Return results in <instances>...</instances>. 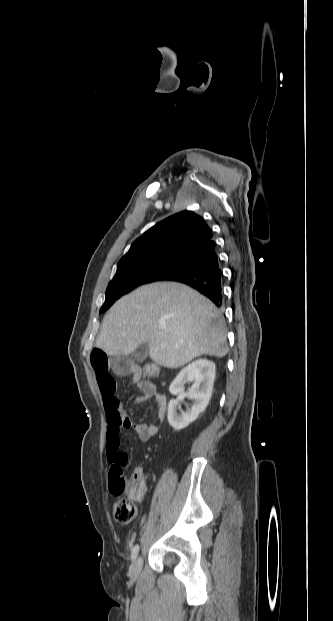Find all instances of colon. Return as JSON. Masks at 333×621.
<instances>
[{"label":"colon","mask_w":333,"mask_h":621,"mask_svg":"<svg viewBox=\"0 0 333 621\" xmlns=\"http://www.w3.org/2000/svg\"><path fill=\"white\" fill-rule=\"evenodd\" d=\"M158 374L159 369L153 363H147L141 369L134 371V376L138 377L155 378ZM109 489L113 495L117 496L113 507L115 520L122 524L130 523L136 516L134 501L142 497L146 491L144 476H132L127 479L125 465L117 463L110 468Z\"/></svg>","instance_id":"colon-1"}]
</instances>
